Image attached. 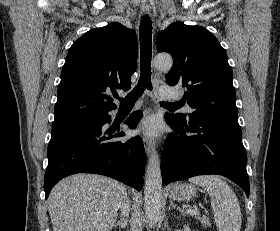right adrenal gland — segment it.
<instances>
[{"label": "right adrenal gland", "instance_id": "1", "mask_svg": "<svg viewBox=\"0 0 280 231\" xmlns=\"http://www.w3.org/2000/svg\"><path fill=\"white\" fill-rule=\"evenodd\" d=\"M120 227V229H125L126 225H127V217L125 219V217H121V219H119V221H115L113 227Z\"/></svg>", "mask_w": 280, "mask_h": 231}]
</instances>
